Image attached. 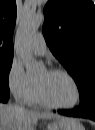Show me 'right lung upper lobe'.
Here are the masks:
<instances>
[{
	"label": "right lung upper lobe",
	"mask_w": 95,
	"mask_h": 130,
	"mask_svg": "<svg viewBox=\"0 0 95 130\" xmlns=\"http://www.w3.org/2000/svg\"><path fill=\"white\" fill-rule=\"evenodd\" d=\"M16 22L15 0H0V59H12V43Z\"/></svg>",
	"instance_id": "cb5924a9"
}]
</instances>
